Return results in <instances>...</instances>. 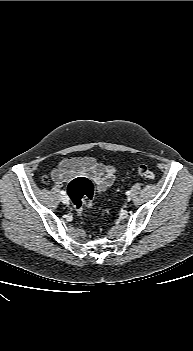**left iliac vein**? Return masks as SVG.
I'll return each instance as SVG.
<instances>
[{
  "label": "left iliac vein",
  "mask_w": 193,
  "mask_h": 351,
  "mask_svg": "<svg viewBox=\"0 0 193 351\" xmlns=\"http://www.w3.org/2000/svg\"><path fill=\"white\" fill-rule=\"evenodd\" d=\"M127 200L130 201V200H131V197H128Z\"/></svg>",
  "instance_id": "left-iliac-vein-1"
}]
</instances>
